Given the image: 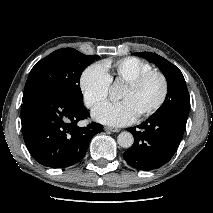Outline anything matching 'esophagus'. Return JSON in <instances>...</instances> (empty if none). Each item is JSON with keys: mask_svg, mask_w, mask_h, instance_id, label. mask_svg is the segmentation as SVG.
I'll return each instance as SVG.
<instances>
[{"mask_svg": "<svg viewBox=\"0 0 213 213\" xmlns=\"http://www.w3.org/2000/svg\"><path fill=\"white\" fill-rule=\"evenodd\" d=\"M104 130L105 131H110V132H115V133H117V132H119L120 131V129L119 128H115V127H104Z\"/></svg>", "mask_w": 213, "mask_h": 213, "instance_id": "34e87169", "label": "esophagus"}]
</instances>
